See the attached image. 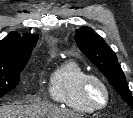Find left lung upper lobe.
<instances>
[{
  "mask_svg": "<svg viewBox=\"0 0 133 118\" xmlns=\"http://www.w3.org/2000/svg\"><path fill=\"white\" fill-rule=\"evenodd\" d=\"M75 41L85 56L108 78L122 99L133 108V97L114 51L86 26L76 30Z\"/></svg>",
  "mask_w": 133,
  "mask_h": 118,
  "instance_id": "5c2ea615",
  "label": "left lung upper lobe"
}]
</instances>
